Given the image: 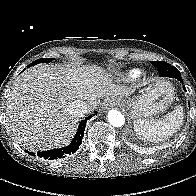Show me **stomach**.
<instances>
[{
    "instance_id": "obj_1",
    "label": "stomach",
    "mask_w": 196,
    "mask_h": 196,
    "mask_svg": "<svg viewBox=\"0 0 196 196\" xmlns=\"http://www.w3.org/2000/svg\"><path fill=\"white\" fill-rule=\"evenodd\" d=\"M174 99V88L171 83L154 79L138 96L122 99L123 105L133 118H146L167 110Z\"/></svg>"
}]
</instances>
